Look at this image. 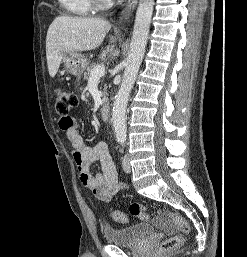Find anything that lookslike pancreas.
I'll return each mask as SVG.
<instances>
[{"instance_id": "pancreas-1", "label": "pancreas", "mask_w": 247, "mask_h": 257, "mask_svg": "<svg viewBox=\"0 0 247 257\" xmlns=\"http://www.w3.org/2000/svg\"><path fill=\"white\" fill-rule=\"evenodd\" d=\"M97 66V64H91L89 67H87L86 72L84 73V80H89L92 70ZM106 95H107V87H104L103 91V101H106Z\"/></svg>"}]
</instances>
